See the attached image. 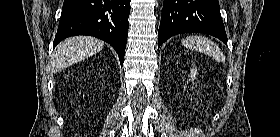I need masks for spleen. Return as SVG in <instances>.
Instances as JSON below:
<instances>
[{"instance_id": "3e777b00", "label": "spleen", "mask_w": 280, "mask_h": 137, "mask_svg": "<svg viewBox=\"0 0 280 137\" xmlns=\"http://www.w3.org/2000/svg\"><path fill=\"white\" fill-rule=\"evenodd\" d=\"M182 44L187 48L207 54L218 62H225V56L218 45L206 37L188 36L182 40Z\"/></svg>"}]
</instances>
